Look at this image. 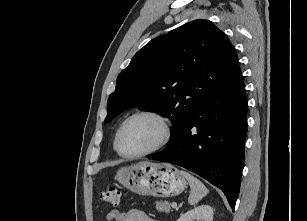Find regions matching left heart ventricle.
Here are the masks:
<instances>
[{
    "mask_svg": "<svg viewBox=\"0 0 307 221\" xmlns=\"http://www.w3.org/2000/svg\"><path fill=\"white\" fill-rule=\"evenodd\" d=\"M161 136L159 123L150 117H138L125 127L120 141L123 152L136 154L151 148Z\"/></svg>",
    "mask_w": 307,
    "mask_h": 221,
    "instance_id": "left-heart-ventricle-1",
    "label": "left heart ventricle"
}]
</instances>
